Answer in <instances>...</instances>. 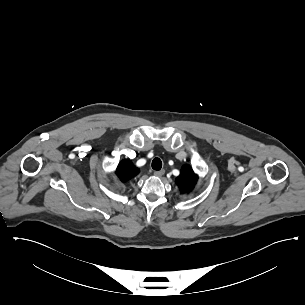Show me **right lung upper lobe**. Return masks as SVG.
Returning <instances> with one entry per match:
<instances>
[{
    "mask_svg": "<svg viewBox=\"0 0 305 305\" xmlns=\"http://www.w3.org/2000/svg\"><path fill=\"white\" fill-rule=\"evenodd\" d=\"M139 173V169L136 168L132 162L128 159L122 160L117 168L116 174L120 181L126 182Z\"/></svg>",
    "mask_w": 305,
    "mask_h": 305,
    "instance_id": "obj_1",
    "label": "right lung upper lobe"
}]
</instances>
